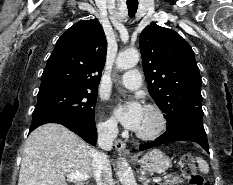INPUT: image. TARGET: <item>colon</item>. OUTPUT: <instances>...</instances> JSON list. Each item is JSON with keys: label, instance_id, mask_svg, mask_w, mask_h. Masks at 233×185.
<instances>
[{"label": "colon", "instance_id": "1", "mask_svg": "<svg viewBox=\"0 0 233 185\" xmlns=\"http://www.w3.org/2000/svg\"><path fill=\"white\" fill-rule=\"evenodd\" d=\"M180 169L189 185H207L204 177L198 173L195 161L190 154L183 156Z\"/></svg>", "mask_w": 233, "mask_h": 185}]
</instances>
